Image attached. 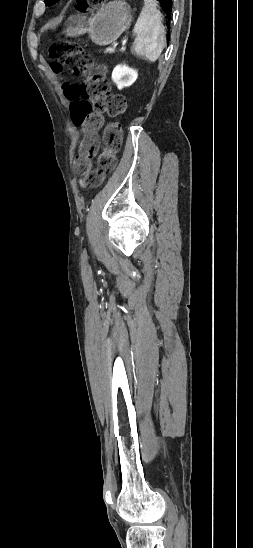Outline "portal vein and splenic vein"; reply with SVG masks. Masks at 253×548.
<instances>
[{
  "mask_svg": "<svg viewBox=\"0 0 253 548\" xmlns=\"http://www.w3.org/2000/svg\"><path fill=\"white\" fill-rule=\"evenodd\" d=\"M125 49H126V45L124 44V45L122 46V50H125Z\"/></svg>",
  "mask_w": 253,
  "mask_h": 548,
  "instance_id": "18ae733b",
  "label": "portal vein and splenic vein"
}]
</instances>
